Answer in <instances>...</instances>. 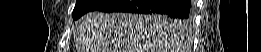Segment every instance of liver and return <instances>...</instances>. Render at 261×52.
<instances>
[{
    "label": "liver",
    "mask_w": 261,
    "mask_h": 52,
    "mask_svg": "<svg viewBox=\"0 0 261 52\" xmlns=\"http://www.w3.org/2000/svg\"><path fill=\"white\" fill-rule=\"evenodd\" d=\"M164 15L90 12L78 24L80 52H177L186 26Z\"/></svg>",
    "instance_id": "obj_1"
}]
</instances>
